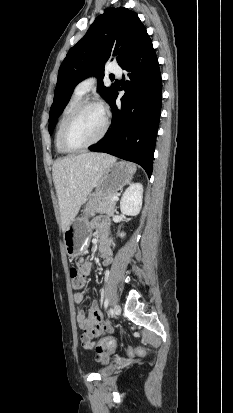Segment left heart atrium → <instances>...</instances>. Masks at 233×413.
Wrapping results in <instances>:
<instances>
[{"mask_svg": "<svg viewBox=\"0 0 233 413\" xmlns=\"http://www.w3.org/2000/svg\"><path fill=\"white\" fill-rule=\"evenodd\" d=\"M100 106H101V109H102L103 111H105V106H104V104H100Z\"/></svg>", "mask_w": 233, "mask_h": 413, "instance_id": "left-heart-atrium-1", "label": "left heart atrium"}]
</instances>
